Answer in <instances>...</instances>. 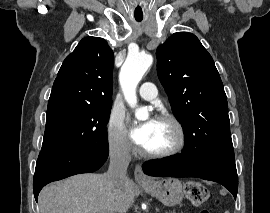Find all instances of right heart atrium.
Wrapping results in <instances>:
<instances>
[{"mask_svg": "<svg viewBox=\"0 0 270 213\" xmlns=\"http://www.w3.org/2000/svg\"><path fill=\"white\" fill-rule=\"evenodd\" d=\"M107 142L111 153L122 158L130 157L132 146L127 138V131L124 124V115L113 111L109 117L107 129Z\"/></svg>", "mask_w": 270, "mask_h": 213, "instance_id": "right-heart-atrium-1", "label": "right heart atrium"}]
</instances>
